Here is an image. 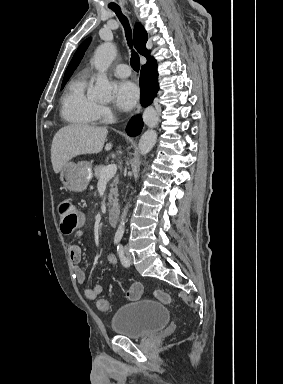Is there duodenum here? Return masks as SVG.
<instances>
[{"label": "duodenum", "instance_id": "obj_1", "mask_svg": "<svg viewBox=\"0 0 283 384\" xmlns=\"http://www.w3.org/2000/svg\"><path fill=\"white\" fill-rule=\"evenodd\" d=\"M107 218H108V222L112 226H116L118 224V221H119V210L113 209V210L109 211Z\"/></svg>", "mask_w": 283, "mask_h": 384}]
</instances>
